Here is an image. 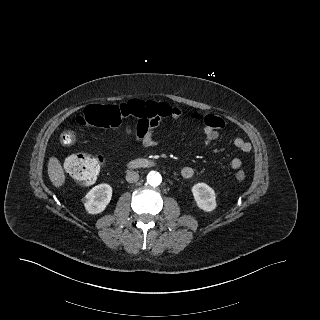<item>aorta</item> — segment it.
<instances>
[{"mask_svg":"<svg viewBox=\"0 0 320 320\" xmlns=\"http://www.w3.org/2000/svg\"><path fill=\"white\" fill-rule=\"evenodd\" d=\"M147 182L151 186H154V187L159 186L161 184V182H162V176L158 172L151 171L147 175Z\"/></svg>","mask_w":320,"mask_h":320,"instance_id":"762f6f07","label":"aorta"}]
</instances>
